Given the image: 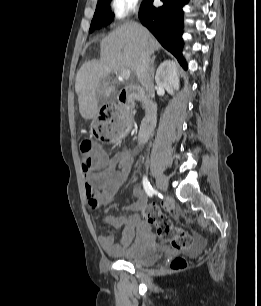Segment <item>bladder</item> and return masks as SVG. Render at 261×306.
I'll use <instances>...</instances> for the list:
<instances>
[{"label":"bladder","mask_w":261,"mask_h":306,"mask_svg":"<svg viewBox=\"0 0 261 306\" xmlns=\"http://www.w3.org/2000/svg\"><path fill=\"white\" fill-rule=\"evenodd\" d=\"M159 258V249L149 240L143 239L132 253L123 256L121 260L135 266L147 267L156 264Z\"/></svg>","instance_id":"obj_1"}]
</instances>
